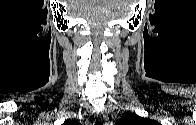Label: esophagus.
Segmentation results:
<instances>
[{
	"label": "esophagus",
	"mask_w": 196,
	"mask_h": 125,
	"mask_svg": "<svg viewBox=\"0 0 196 125\" xmlns=\"http://www.w3.org/2000/svg\"><path fill=\"white\" fill-rule=\"evenodd\" d=\"M97 121L102 122L103 125H109V121L104 113L97 114Z\"/></svg>",
	"instance_id": "1"
}]
</instances>
